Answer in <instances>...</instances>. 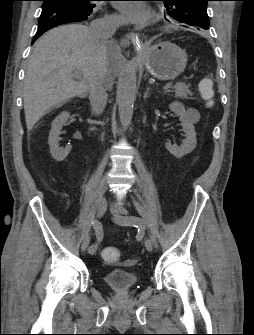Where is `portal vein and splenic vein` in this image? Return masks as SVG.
Returning <instances> with one entry per match:
<instances>
[{
	"mask_svg": "<svg viewBox=\"0 0 254 335\" xmlns=\"http://www.w3.org/2000/svg\"><path fill=\"white\" fill-rule=\"evenodd\" d=\"M78 78H81V76L78 75ZM172 86H173V82L172 81L168 82L163 86V90L166 91V90L170 89Z\"/></svg>",
	"mask_w": 254,
	"mask_h": 335,
	"instance_id": "obj_1",
	"label": "portal vein and splenic vein"
}]
</instances>
